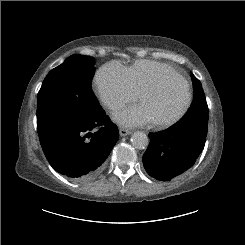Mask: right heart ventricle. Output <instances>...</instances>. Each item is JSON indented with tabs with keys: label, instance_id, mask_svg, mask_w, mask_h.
I'll list each match as a JSON object with an SVG mask.
<instances>
[{
	"label": "right heart ventricle",
	"instance_id": "obj_1",
	"mask_svg": "<svg viewBox=\"0 0 245 245\" xmlns=\"http://www.w3.org/2000/svg\"><path fill=\"white\" fill-rule=\"evenodd\" d=\"M126 69L131 84L139 94L145 87L153 83L160 73L174 68L166 63L142 59L135 61Z\"/></svg>",
	"mask_w": 245,
	"mask_h": 245
}]
</instances>
